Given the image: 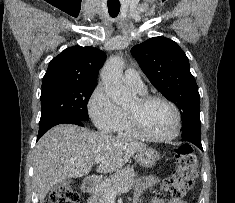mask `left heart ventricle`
Instances as JSON below:
<instances>
[{"label": "left heart ventricle", "mask_w": 235, "mask_h": 203, "mask_svg": "<svg viewBox=\"0 0 235 203\" xmlns=\"http://www.w3.org/2000/svg\"><path fill=\"white\" fill-rule=\"evenodd\" d=\"M127 108L137 113L142 127L151 135L166 136L174 129V112L164 102L155 101L140 105L135 98L127 105Z\"/></svg>", "instance_id": "1"}]
</instances>
